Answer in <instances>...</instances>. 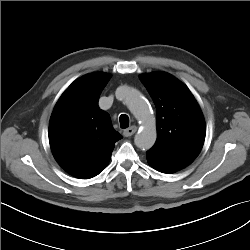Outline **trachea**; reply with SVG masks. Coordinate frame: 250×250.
I'll return each mask as SVG.
<instances>
[{"label":"trachea","instance_id":"1","mask_svg":"<svg viewBox=\"0 0 250 250\" xmlns=\"http://www.w3.org/2000/svg\"><path fill=\"white\" fill-rule=\"evenodd\" d=\"M120 121V127L125 129L129 126V117L125 114L120 115L119 118Z\"/></svg>","mask_w":250,"mask_h":250}]
</instances>
